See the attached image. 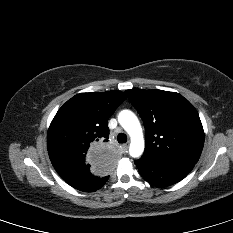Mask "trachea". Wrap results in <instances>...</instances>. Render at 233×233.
Listing matches in <instances>:
<instances>
[{
  "mask_svg": "<svg viewBox=\"0 0 233 233\" xmlns=\"http://www.w3.org/2000/svg\"><path fill=\"white\" fill-rule=\"evenodd\" d=\"M117 139L119 143H126L127 136L124 133H119Z\"/></svg>",
  "mask_w": 233,
  "mask_h": 233,
  "instance_id": "obj_1",
  "label": "trachea"
}]
</instances>
